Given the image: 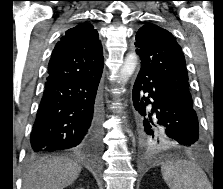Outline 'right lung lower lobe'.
<instances>
[{"label": "right lung lower lobe", "instance_id": "1", "mask_svg": "<svg viewBox=\"0 0 223 189\" xmlns=\"http://www.w3.org/2000/svg\"><path fill=\"white\" fill-rule=\"evenodd\" d=\"M101 74L45 83L30 136V154L74 147L98 149L101 112L97 89Z\"/></svg>", "mask_w": 223, "mask_h": 189}]
</instances>
